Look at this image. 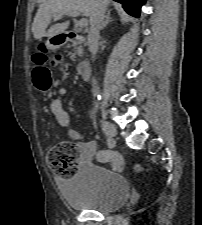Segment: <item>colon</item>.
Listing matches in <instances>:
<instances>
[{"instance_id":"obj_1","label":"colon","mask_w":202,"mask_h":225,"mask_svg":"<svg viewBox=\"0 0 202 225\" xmlns=\"http://www.w3.org/2000/svg\"><path fill=\"white\" fill-rule=\"evenodd\" d=\"M60 56L49 57L43 52L36 55V67L33 71L34 84L40 91H46L50 87L51 72L47 64L56 66L60 61ZM79 149L73 142H64L61 145L53 146L47 151V162L49 167L61 178L72 176L77 169ZM104 161L109 162L116 171L124 168L123 157L116 152L104 154ZM136 171L143 173L144 167L136 164Z\"/></svg>"}]
</instances>
